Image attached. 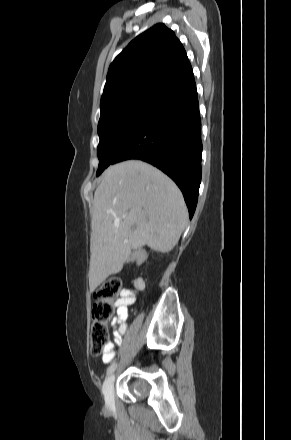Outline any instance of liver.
Masks as SVG:
<instances>
[{"mask_svg":"<svg viewBox=\"0 0 291 440\" xmlns=\"http://www.w3.org/2000/svg\"><path fill=\"white\" fill-rule=\"evenodd\" d=\"M188 212L177 185L156 167L128 160L108 167L94 194L89 286L119 273L132 249L167 253L178 243Z\"/></svg>","mask_w":291,"mask_h":440,"instance_id":"1","label":"liver"}]
</instances>
